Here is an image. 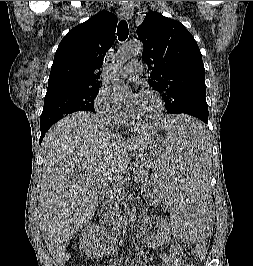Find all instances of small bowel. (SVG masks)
I'll use <instances>...</instances> for the list:
<instances>
[{
	"label": "small bowel",
	"mask_w": 253,
	"mask_h": 266,
	"mask_svg": "<svg viewBox=\"0 0 253 266\" xmlns=\"http://www.w3.org/2000/svg\"><path fill=\"white\" fill-rule=\"evenodd\" d=\"M181 248L173 247L170 253H162L161 258L166 263L167 266H188L183 263L180 257ZM132 266H147L141 260H134Z\"/></svg>",
	"instance_id": "small-bowel-1"
}]
</instances>
